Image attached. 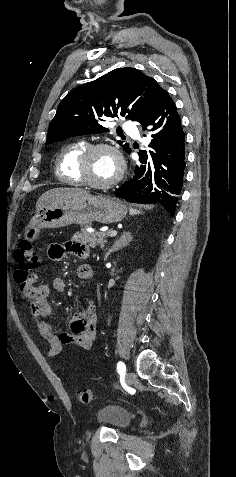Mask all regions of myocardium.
Instances as JSON below:
<instances>
[{"label": "myocardium", "instance_id": "f54148a6", "mask_svg": "<svg viewBox=\"0 0 236 477\" xmlns=\"http://www.w3.org/2000/svg\"><path fill=\"white\" fill-rule=\"evenodd\" d=\"M98 150H109L111 151L117 162H118V172L116 176L108 182H94L88 177V162L93 153ZM125 171V161L120 153V151L113 145L109 143H94L86 146L82 153L80 154L77 161V174L83 184H86L92 188L96 189H108L116 185L123 177Z\"/></svg>", "mask_w": 236, "mask_h": 477}]
</instances>
